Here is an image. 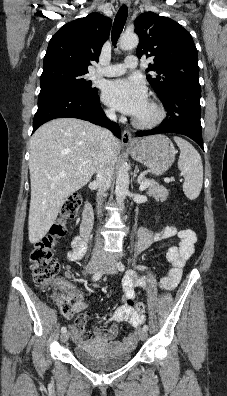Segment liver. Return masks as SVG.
Returning <instances> with one entry per match:
<instances>
[{
    "label": "liver",
    "mask_w": 227,
    "mask_h": 396,
    "mask_svg": "<svg viewBox=\"0 0 227 396\" xmlns=\"http://www.w3.org/2000/svg\"><path fill=\"white\" fill-rule=\"evenodd\" d=\"M101 129L76 118H58L36 130L30 143V243L40 241L55 222L65 199L95 173L101 152ZM115 157L120 142L113 138Z\"/></svg>",
    "instance_id": "liver-1"
}]
</instances>
